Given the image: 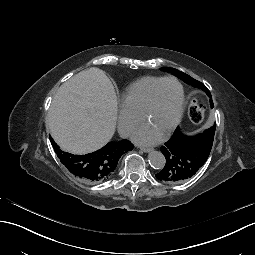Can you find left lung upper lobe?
I'll return each mask as SVG.
<instances>
[{
    "label": "left lung upper lobe",
    "mask_w": 255,
    "mask_h": 255,
    "mask_svg": "<svg viewBox=\"0 0 255 255\" xmlns=\"http://www.w3.org/2000/svg\"><path fill=\"white\" fill-rule=\"evenodd\" d=\"M162 71L165 72H170L171 74L175 75L176 77H178L179 79L183 80L185 83L192 85L193 87H198L200 89H202L203 91H205L208 95V97L210 98V104H211V108L214 107L213 105V101H212V96L209 92V90L199 81L193 79L192 77H190L189 75L180 72L177 69L174 68H170V67H166V68H161ZM215 129H216V124H214V126H212L211 128L205 130L203 133H200L199 135H203L202 137V141L205 144L204 149L206 152L211 153L214 151L215 146L213 144V140H214V134H215ZM174 134H181L179 128H177L174 132ZM162 152V151H161ZM164 155V154H163ZM165 156V155H164ZM166 158V157H165ZM207 160V159H206ZM204 164L200 165L203 166ZM183 169V168H182ZM191 178V177H190ZM184 181V180H183ZM177 183V182H175Z\"/></svg>",
    "instance_id": "1"
}]
</instances>
